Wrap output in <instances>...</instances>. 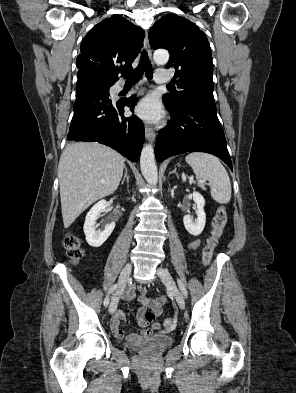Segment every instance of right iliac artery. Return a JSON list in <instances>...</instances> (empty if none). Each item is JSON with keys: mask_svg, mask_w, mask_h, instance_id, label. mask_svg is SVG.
<instances>
[{"mask_svg": "<svg viewBox=\"0 0 296 393\" xmlns=\"http://www.w3.org/2000/svg\"><path fill=\"white\" fill-rule=\"evenodd\" d=\"M117 287H118V284H114L110 289H109V294L106 296V298L104 299V305L105 306H108V304H109V295L111 294V293H113L116 289H117Z\"/></svg>", "mask_w": 296, "mask_h": 393, "instance_id": "obj_1", "label": "right iliac artery"}]
</instances>
